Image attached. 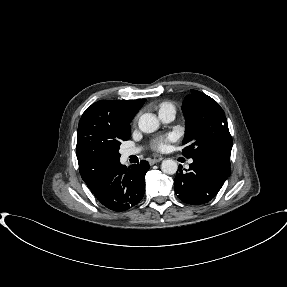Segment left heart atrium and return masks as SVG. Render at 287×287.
Masks as SVG:
<instances>
[{"mask_svg":"<svg viewBox=\"0 0 287 287\" xmlns=\"http://www.w3.org/2000/svg\"><path fill=\"white\" fill-rule=\"evenodd\" d=\"M176 139L175 135L167 134L156 138L153 142V148L157 151H164L168 147V143Z\"/></svg>","mask_w":287,"mask_h":287,"instance_id":"obj_1","label":"left heart atrium"}]
</instances>
